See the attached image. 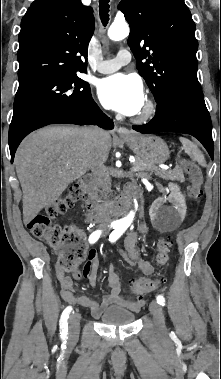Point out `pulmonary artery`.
<instances>
[{
  "instance_id": "1",
  "label": "pulmonary artery",
  "mask_w": 221,
  "mask_h": 379,
  "mask_svg": "<svg viewBox=\"0 0 221 379\" xmlns=\"http://www.w3.org/2000/svg\"><path fill=\"white\" fill-rule=\"evenodd\" d=\"M131 60V53L122 49L117 56L110 60H104L97 65V71L102 74H108L117 71L122 66L128 64Z\"/></svg>"
}]
</instances>
